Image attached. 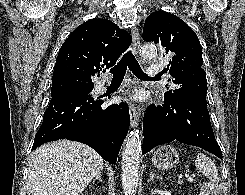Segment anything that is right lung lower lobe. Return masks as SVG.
<instances>
[{
  "mask_svg": "<svg viewBox=\"0 0 245 195\" xmlns=\"http://www.w3.org/2000/svg\"><path fill=\"white\" fill-rule=\"evenodd\" d=\"M93 87L51 99L32 150L49 141L68 139L89 145L115 164L128 132L129 108L126 103L102 107L103 101L90 94Z\"/></svg>",
  "mask_w": 245,
  "mask_h": 195,
  "instance_id": "right-lung-lower-lobe-1",
  "label": "right lung lower lobe"
}]
</instances>
